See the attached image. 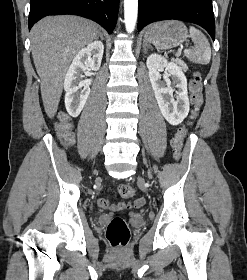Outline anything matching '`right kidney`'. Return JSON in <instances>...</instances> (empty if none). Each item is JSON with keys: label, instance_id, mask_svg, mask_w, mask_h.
<instances>
[{"label": "right kidney", "instance_id": "1", "mask_svg": "<svg viewBox=\"0 0 247 280\" xmlns=\"http://www.w3.org/2000/svg\"><path fill=\"white\" fill-rule=\"evenodd\" d=\"M103 52V43L94 41L78 51L67 70L64 80L65 106L72 117L81 113L90 94V88L87 82L82 80V74L88 69L99 70Z\"/></svg>", "mask_w": 247, "mask_h": 280}]
</instances>
